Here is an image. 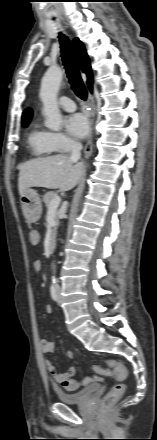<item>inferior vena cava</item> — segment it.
<instances>
[{
	"instance_id": "602c4592",
	"label": "inferior vena cava",
	"mask_w": 157,
	"mask_h": 440,
	"mask_svg": "<svg viewBox=\"0 0 157 440\" xmlns=\"http://www.w3.org/2000/svg\"><path fill=\"white\" fill-rule=\"evenodd\" d=\"M81 149H82V144L79 143V142H74L73 147H72L71 157H70V159L73 162H77L80 159V157H81Z\"/></svg>"
}]
</instances>
